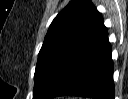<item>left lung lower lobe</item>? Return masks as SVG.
<instances>
[{
  "mask_svg": "<svg viewBox=\"0 0 128 99\" xmlns=\"http://www.w3.org/2000/svg\"><path fill=\"white\" fill-rule=\"evenodd\" d=\"M113 61L104 22L56 72L43 99L70 95L114 99Z\"/></svg>",
  "mask_w": 128,
  "mask_h": 99,
  "instance_id": "0a47b994",
  "label": "left lung lower lobe"
}]
</instances>
